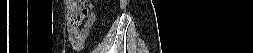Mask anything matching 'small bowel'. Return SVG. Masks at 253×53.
I'll return each instance as SVG.
<instances>
[{"mask_svg": "<svg viewBox=\"0 0 253 53\" xmlns=\"http://www.w3.org/2000/svg\"><path fill=\"white\" fill-rule=\"evenodd\" d=\"M89 8L91 9V7ZM94 23L95 14L91 11L82 28L67 26L68 41L75 49L79 50L83 47Z\"/></svg>", "mask_w": 253, "mask_h": 53, "instance_id": "obj_1", "label": "small bowel"}]
</instances>
